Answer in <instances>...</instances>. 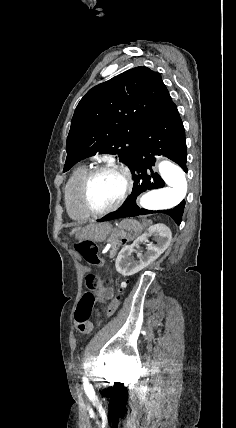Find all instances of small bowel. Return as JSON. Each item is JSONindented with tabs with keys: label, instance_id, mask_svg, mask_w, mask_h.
<instances>
[{
	"label": "small bowel",
	"instance_id": "c3829d8e",
	"mask_svg": "<svg viewBox=\"0 0 236 428\" xmlns=\"http://www.w3.org/2000/svg\"><path fill=\"white\" fill-rule=\"evenodd\" d=\"M99 295L103 301L110 300L113 297V290L111 288L103 289ZM90 329L91 324H88L85 328V331H89Z\"/></svg>",
	"mask_w": 236,
	"mask_h": 428
}]
</instances>
